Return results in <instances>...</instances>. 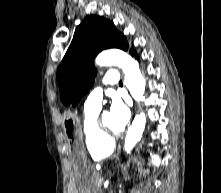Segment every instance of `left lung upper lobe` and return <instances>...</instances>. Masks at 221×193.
<instances>
[{
  "label": "left lung upper lobe",
  "instance_id": "left-lung-upper-lobe-1",
  "mask_svg": "<svg viewBox=\"0 0 221 193\" xmlns=\"http://www.w3.org/2000/svg\"><path fill=\"white\" fill-rule=\"evenodd\" d=\"M107 48L127 50L126 37L116 30L113 22L100 16L86 17L76 28L57 72L61 99L66 105H77L93 85L94 58Z\"/></svg>",
  "mask_w": 221,
  "mask_h": 193
}]
</instances>
